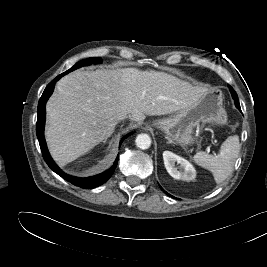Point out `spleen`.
Masks as SVG:
<instances>
[{
	"label": "spleen",
	"instance_id": "spleen-1",
	"mask_svg": "<svg viewBox=\"0 0 267 267\" xmlns=\"http://www.w3.org/2000/svg\"><path fill=\"white\" fill-rule=\"evenodd\" d=\"M239 150L238 136H230L222 143L218 155L200 151L194 155L193 160L197 165L209 170L216 183H221L232 174Z\"/></svg>",
	"mask_w": 267,
	"mask_h": 267
}]
</instances>
